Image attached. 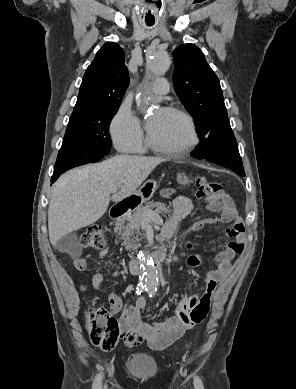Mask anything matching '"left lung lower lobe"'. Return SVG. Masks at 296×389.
<instances>
[{"label":"left lung lower lobe","mask_w":296,"mask_h":389,"mask_svg":"<svg viewBox=\"0 0 296 389\" xmlns=\"http://www.w3.org/2000/svg\"><path fill=\"white\" fill-rule=\"evenodd\" d=\"M191 156L224 166L240 176H245L229 119L216 125L205 138H201V143L195 147Z\"/></svg>","instance_id":"0a47b994"}]
</instances>
